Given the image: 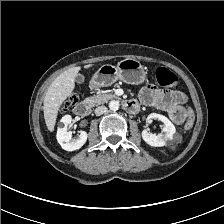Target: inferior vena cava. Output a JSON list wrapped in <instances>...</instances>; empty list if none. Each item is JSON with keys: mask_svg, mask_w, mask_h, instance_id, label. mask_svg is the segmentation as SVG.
<instances>
[{"mask_svg": "<svg viewBox=\"0 0 224 224\" xmlns=\"http://www.w3.org/2000/svg\"><path fill=\"white\" fill-rule=\"evenodd\" d=\"M107 112V108L105 107V106H99V107H97L96 109H95V114L97 115V116H100V115H102V114H104V113H106Z\"/></svg>", "mask_w": 224, "mask_h": 224, "instance_id": "1", "label": "inferior vena cava"}]
</instances>
